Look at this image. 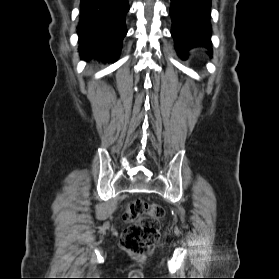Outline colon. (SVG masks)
Wrapping results in <instances>:
<instances>
[{
	"label": "colon",
	"instance_id": "1",
	"mask_svg": "<svg viewBox=\"0 0 279 279\" xmlns=\"http://www.w3.org/2000/svg\"><path fill=\"white\" fill-rule=\"evenodd\" d=\"M165 212L161 205L137 199L128 203L124 219L128 226L120 244L128 252L142 256L148 254L160 238V220Z\"/></svg>",
	"mask_w": 279,
	"mask_h": 279
}]
</instances>
